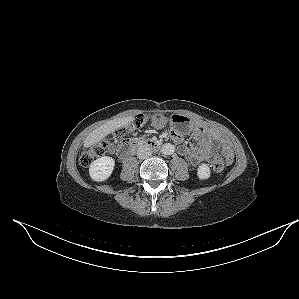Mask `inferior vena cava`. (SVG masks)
I'll return each instance as SVG.
<instances>
[{"label": "inferior vena cava", "instance_id": "obj_1", "mask_svg": "<svg viewBox=\"0 0 299 299\" xmlns=\"http://www.w3.org/2000/svg\"><path fill=\"white\" fill-rule=\"evenodd\" d=\"M152 154V150L148 145H141L137 150V157L139 159H146L150 157Z\"/></svg>", "mask_w": 299, "mask_h": 299}]
</instances>
